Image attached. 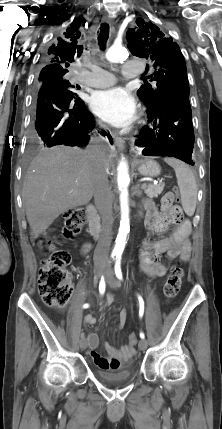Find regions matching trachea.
Returning a JSON list of instances; mask_svg holds the SVG:
<instances>
[{
  "label": "trachea",
  "mask_w": 222,
  "mask_h": 429,
  "mask_svg": "<svg viewBox=\"0 0 222 429\" xmlns=\"http://www.w3.org/2000/svg\"><path fill=\"white\" fill-rule=\"evenodd\" d=\"M109 38V25L107 23L101 24L100 33L98 36L99 46L103 50L106 47V42Z\"/></svg>",
  "instance_id": "trachea-1"
}]
</instances>
